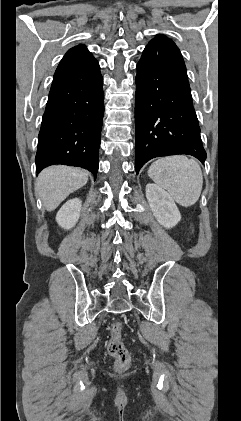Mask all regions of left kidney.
Listing matches in <instances>:
<instances>
[{
	"label": "left kidney",
	"instance_id": "5707ae66",
	"mask_svg": "<svg viewBox=\"0 0 241 421\" xmlns=\"http://www.w3.org/2000/svg\"><path fill=\"white\" fill-rule=\"evenodd\" d=\"M146 198L154 217L163 227L172 228L181 220V214L174 200L161 187L147 184Z\"/></svg>",
	"mask_w": 241,
	"mask_h": 421
}]
</instances>
